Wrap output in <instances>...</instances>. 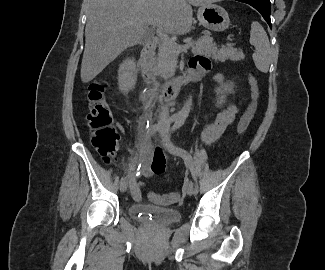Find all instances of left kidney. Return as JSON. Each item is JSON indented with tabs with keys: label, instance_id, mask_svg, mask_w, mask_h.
Segmentation results:
<instances>
[{
	"label": "left kidney",
	"instance_id": "obj_1",
	"mask_svg": "<svg viewBox=\"0 0 325 270\" xmlns=\"http://www.w3.org/2000/svg\"><path fill=\"white\" fill-rule=\"evenodd\" d=\"M234 84L232 82L226 83L216 89L217 105L220 106L225 102L226 94L233 93Z\"/></svg>",
	"mask_w": 325,
	"mask_h": 270
}]
</instances>
